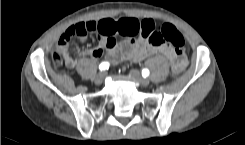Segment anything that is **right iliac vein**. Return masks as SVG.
<instances>
[{
	"instance_id": "1",
	"label": "right iliac vein",
	"mask_w": 245,
	"mask_h": 145,
	"mask_svg": "<svg viewBox=\"0 0 245 145\" xmlns=\"http://www.w3.org/2000/svg\"><path fill=\"white\" fill-rule=\"evenodd\" d=\"M104 77H105V72H99V73L97 74V76L95 77L94 82H95L97 85H100V84L103 83Z\"/></svg>"
}]
</instances>
